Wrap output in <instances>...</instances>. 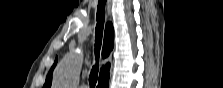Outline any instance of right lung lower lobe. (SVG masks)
<instances>
[{
  "mask_svg": "<svg viewBox=\"0 0 223 88\" xmlns=\"http://www.w3.org/2000/svg\"><path fill=\"white\" fill-rule=\"evenodd\" d=\"M108 80H109V77L99 79L98 88H108Z\"/></svg>",
  "mask_w": 223,
  "mask_h": 88,
  "instance_id": "right-lung-lower-lobe-1",
  "label": "right lung lower lobe"
}]
</instances>
